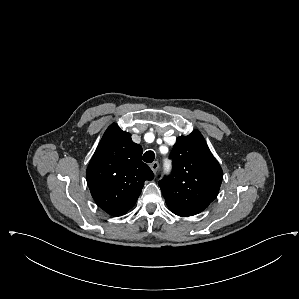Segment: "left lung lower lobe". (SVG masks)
<instances>
[{"label":"left lung lower lobe","instance_id":"obj_1","mask_svg":"<svg viewBox=\"0 0 299 299\" xmlns=\"http://www.w3.org/2000/svg\"><path fill=\"white\" fill-rule=\"evenodd\" d=\"M168 207H169V206H168ZM169 209H170L174 214H176V215H178V216H183V217L190 216V215L185 214V213H183V212H181V211H178V210H176V209H173L172 207H169Z\"/></svg>","mask_w":299,"mask_h":299}]
</instances>
